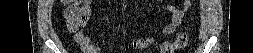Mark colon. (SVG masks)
<instances>
[{"mask_svg":"<svg viewBox=\"0 0 253 53\" xmlns=\"http://www.w3.org/2000/svg\"><path fill=\"white\" fill-rule=\"evenodd\" d=\"M88 1H73L66 10L68 27L71 31H76L84 26L90 16V9L86 4ZM189 36L187 33H180L174 42H166L162 47L163 53H174L176 50L183 49L187 46ZM135 47L142 48L145 46L143 40H136Z\"/></svg>","mask_w":253,"mask_h":53,"instance_id":"1","label":"colon"}]
</instances>
